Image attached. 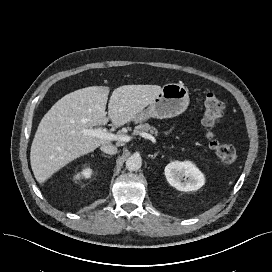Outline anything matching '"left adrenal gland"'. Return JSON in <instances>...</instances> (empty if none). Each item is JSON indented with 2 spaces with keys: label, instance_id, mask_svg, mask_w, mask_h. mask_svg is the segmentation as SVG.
Returning a JSON list of instances; mask_svg holds the SVG:
<instances>
[{
  "label": "left adrenal gland",
  "instance_id": "a2214340",
  "mask_svg": "<svg viewBox=\"0 0 272 272\" xmlns=\"http://www.w3.org/2000/svg\"><path fill=\"white\" fill-rule=\"evenodd\" d=\"M159 154V152H156L154 155H151L150 157L152 158V159H155L156 158V156Z\"/></svg>",
  "mask_w": 272,
  "mask_h": 272
}]
</instances>
